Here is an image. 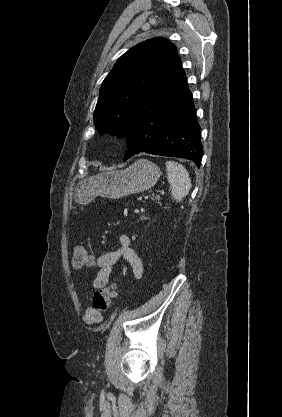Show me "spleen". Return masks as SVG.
<instances>
[{
    "label": "spleen",
    "mask_w": 282,
    "mask_h": 417,
    "mask_svg": "<svg viewBox=\"0 0 282 417\" xmlns=\"http://www.w3.org/2000/svg\"><path fill=\"white\" fill-rule=\"evenodd\" d=\"M165 164L168 182L171 186V196L176 202H181L191 188L189 172L183 164L175 160H167ZM165 209H168V206H165Z\"/></svg>",
    "instance_id": "obj_1"
}]
</instances>
